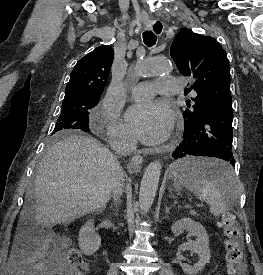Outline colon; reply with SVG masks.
<instances>
[{"mask_svg":"<svg viewBox=\"0 0 263 275\" xmlns=\"http://www.w3.org/2000/svg\"><path fill=\"white\" fill-rule=\"evenodd\" d=\"M221 226L225 236L224 249L226 270L229 275H244L243 240L240 227L235 217L226 213L221 218ZM67 275L83 272L85 263L82 254L77 248H70L66 255Z\"/></svg>","mask_w":263,"mask_h":275,"instance_id":"5ec220e1","label":"colon"}]
</instances>
